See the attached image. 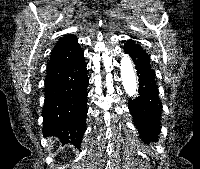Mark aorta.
Returning a JSON list of instances; mask_svg holds the SVG:
<instances>
[{"instance_id":"obj_1","label":"aorta","mask_w":200,"mask_h":169,"mask_svg":"<svg viewBox=\"0 0 200 169\" xmlns=\"http://www.w3.org/2000/svg\"><path fill=\"white\" fill-rule=\"evenodd\" d=\"M120 74L122 85L129 97H134L137 93V76L133 66V62L126 54L122 55L120 61Z\"/></svg>"}]
</instances>
